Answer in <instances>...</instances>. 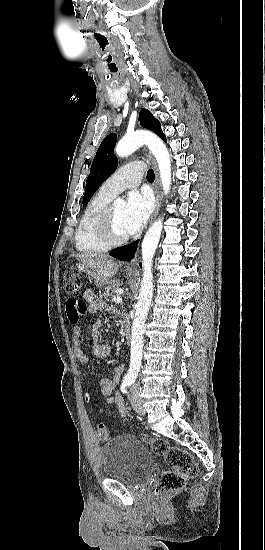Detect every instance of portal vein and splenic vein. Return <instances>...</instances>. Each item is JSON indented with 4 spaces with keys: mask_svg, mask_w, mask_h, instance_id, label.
Returning <instances> with one entry per match:
<instances>
[{
    "mask_svg": "<svg viewBox=\"0 0 265 550\" xmlns=\"http://www.w3.org/2000/svg\"><path fill=\"white\" fill-rule=\"evenodd\" d=\"M114 302L115 303H122V298L120 296H116V297H114Z\"/></svg>",
    "mask_w": 265,
    "mask_h": 550,
    "instance_id": "1",
    "label": "portal vein and splenic vein"
}]
</instances>
